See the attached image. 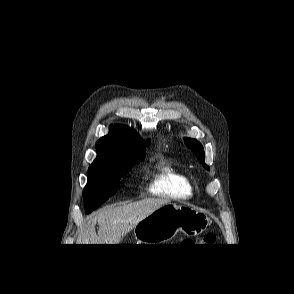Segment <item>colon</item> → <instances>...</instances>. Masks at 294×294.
I'll list each match as a JSON object with an SVG mask.
<instances>
[{
	"label": "colon",
	"mask_w": 294,
	"mask_h": 294,
	"mask_svg": "<svg viewBox=\"0 0 294 294\" xmlns=\"http://www.w3.org/2000/svg\"><path fill=\"white\" fill-rule=\"evenodd\" d=\"M214 241H215V235L212 233H208V234L204 235V237H203V242L205 244H211Z\"/></svg>",
	"instance_id": "5ec220e1"
}]
</instances>
